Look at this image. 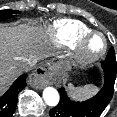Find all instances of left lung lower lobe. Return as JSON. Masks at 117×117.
Listing matches in <instances>:
<instances>
[{
	"label": "left lung lower lobe",
	"instance_id": "1",
	"mask_svg": "<svg viewBox=\"0 0 117 117\" xmlns=\"http://www.w3.org/2000/svg\"><path fill=\"white\" fill-rule=\"evenodd\" d=\"M102 68L105 72V81L97 95L83 102L72 101L62 87L58 105L49 112L50 117H99L112 99L116 69L111 67Z\"/></svg>",
	"mask_w": 117,
	"mask_h": 117
}]
</instances>
